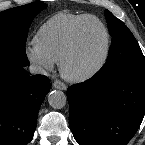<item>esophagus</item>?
Returning a JSON list of instances; mask_svg holds the SVG:
<instances>
[{
  "mask_svg": "<svg viewBox=\"0 0 145 145\" xmlns=\"http://www.w3.org/2000/svg\"><path fill=\"white\" fill-rule=\"evenodd\" d=\"M53 87L55 89L64 90V91L67 89V86L59 80L54 81Z\"/></svg>",
  "mask_w": 145,
  "mask_h": 145,
  "instance_id": "34e87169",
  "label": "esophagus"
}]
</instances>
